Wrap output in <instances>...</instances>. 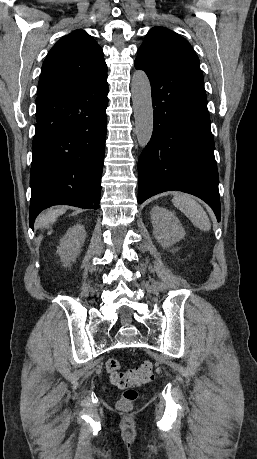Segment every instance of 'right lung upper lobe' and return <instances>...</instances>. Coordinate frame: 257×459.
I'll return each mask as SVG.
<instances>
[{"mask_svg": "<svg viewBox=\"0 0 257 459\" xmlns=\"http://www.w3.org/2000/svg\"><path fill=\"white\" fill-rule=\"evenodd\" d=\"M107 76L101 47L85 31L61 38L48 53L41 71L37 98L80 89Z\"/></svg>", "mask_w": 257, "mask_h": 459, "instance_id": "cb5924a9", "label": "right lung upper lobe"}]
</instances>
